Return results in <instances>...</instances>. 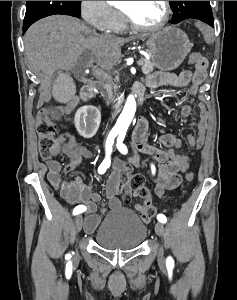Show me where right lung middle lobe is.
<instances>
[{"instance_id": "dd1d6c3e", "label": "right lung middle lobe", "mask_w": 237, "mask_h": 300, "mask_svg": "<svg viewBox=\"0 0 237 300\" xmlns=\"http://www.w3.org/2000/svg\"><path fill=\"white\" fill-rule=\"evenodd\" d=\"M54 14L79 17L81 15L79 1H27L24 23L32 24Z\"/></svg>"}]
</instances>
